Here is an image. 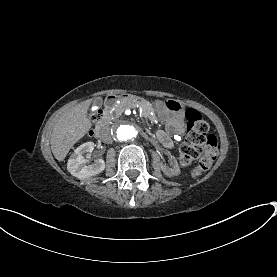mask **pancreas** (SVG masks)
<instances>
[{"label":"pancreas","mask_w":277,"mask_h":277,"mask_svg":"<svg viewBox=\"0 0 277 277\" xmlns=\"http://www.w3.org/2000/svg\"><path fill=\"white\" fill-rule=\"evenodd\" d=\"M128 109L132 110L139 117L145 118L150 124L156 123L159 119L158 114L152 111V104L138 96H128L125 99L119 98L108 105L106 112L109 117L115 118Z\"/></svg>","instance_id":"cf45deb5"}]
</instances>
